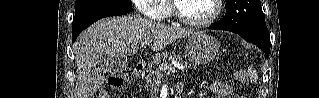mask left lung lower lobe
I'll return each mask as SVG.
<instances>
[{
  "label": "left lung lower lobe",
  "instance_id": "0a47b994",
  "mask_svg": "<svg viewBox=\"0 0 319 98\" xmlns=\"http://www.w3.org/2000/svg\"><path fill=\"white\" fill-rule=\"evenodd\" d=\"M210 29H219L217 26L212 24ZM238 34V33H237ZM242 38L247 40L248 42H251L255 45H257L261 50L264 51L266 58L269 57V51H270V36H262V35H245V34H239Z\"/></svg>",
  "mask_w": 319,
  "mask_h": 98
}]
</instances>
